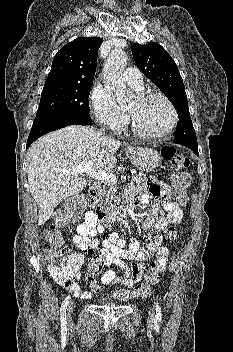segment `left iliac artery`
<instances>
[{"label":"left iliac artery","mask_w":233,"mask_h":352,"mask_svg":"<svg viewBox=\"0 0 233 352\" xmlns=\"http://www.w3.org/2000/svg\"><path fill=\"white\" fill-rule=\"evenodd\" d=\"M154 306H155V310H156V316H155V319L157 321H161L162 319V313H161V308L159 306V303L158 302H154Z\"/></svg>","instance_id":"44dca946"}]
</instances>
